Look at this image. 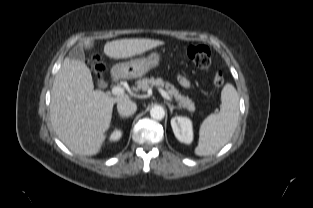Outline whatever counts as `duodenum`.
<instances>
[{
    "mask_svg": "<svg viewBox=\"0 0 313 208\" xmlns=\"http://www.w3.org/2000/svg\"><path fill=\"white\" fill-rule=\"evenodd\" d=\"M117 78H118V74L116 72H114L112 74V81L115 82L117 80Z\"/></svg>",
    "mask_w": 313,
    "mask_h": 208,
    "instance_id": "duodenum-1",
    "label": "duodenum"
}]
</instances>
